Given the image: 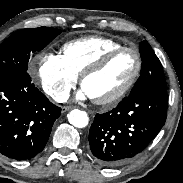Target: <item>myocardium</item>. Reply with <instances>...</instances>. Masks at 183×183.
Returning a JSON list of instances; mask_svg holds the SVG:
<instances>
[{
  "label": "myocardium",
  "instance_id": "obj_1",
  "mask_svg": "<svg viewBox=\"0 0 183 183\" xmlns=\"http://www.w3.org/2000/svg\"><path fill=\"white\" fill-rule=\"evenodd\" d=\"M124 51L131 52L136 59V66L131 78L122 89H120L118 92H116L115 94L107 98L96 99V98L90 97L95 104L111 106L118 103L121 99H123L128 94V92L132 89V87L136 83L142 69V58L139 51L136 48L128 47V46H120V47L113 48L110 51L106 52L104 55H102L96 62H94L88 68H86L80 75V84L83 87L85 80L89 76L101 71L103 68H105L109 64V62L117 54Z\"/></svg>",
  "mask_w": 183,
  "mask_h": 183
}]
</instances>
